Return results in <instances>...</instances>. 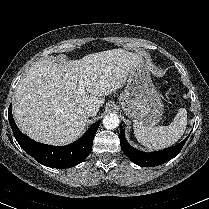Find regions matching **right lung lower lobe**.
<instances>
[{"label":"right lung lower lobe","instance_id":"1","mask_svg":"<svg viewBox=\"0 0 209 209\" xmlns=\"http://www.w3.org/2000/svg\"><path fill=\"white\" fill-rule=\"evenodd\" d=\"M8 119L13 134L23 150L37 162L47 167L69 168L81 163L90 154L95 133L100 121L95 122L76 142L67 146L57 147L38 143L19 131L12 117L11 105L8 109Z\"/></svg>","mask_w":209,"mask_h":209}]
</instances>
